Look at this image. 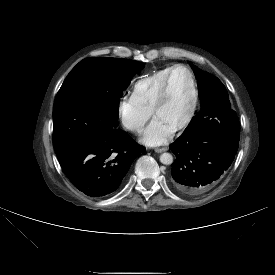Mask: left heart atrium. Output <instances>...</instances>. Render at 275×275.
I'll return each instance as SVG.
<instances>
[{"label":"left heart atrium","mask_w":275,"mask_h":275,"mask_svg":"<svg viewBox=\"0 0 275 275\" xmlns=\"http://www.w3.org/2000/svg\"><path fill=\"white\" fill-rule=\"evenodd\" d=\"M174 129L162 119L155 117L144 129L141 135V142L148 146L165 144L173 134Z\"/></svg>","instance_id":"obj_1"}]
</instances>
